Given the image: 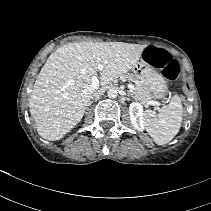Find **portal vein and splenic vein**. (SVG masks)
I'll use <instances>...</instances> for the list:
<instances>
[{"mask_svg": "<svg viewBox=\"0 0 211 211\" xmlns=\"http://www.w3.org/2000/svg\"><path fill=\"white\" fill-rule=\"evenodd\" d=\"M97 68L99 71H101L103 69V65L99 64ZM98 86H99V80H98L97 76H93L91 78V87L98 88ZM127 86L131 92L134 90V86L132 84L128 83ZM147 105L157 106V105H159V103L156 101H147Z\"/></svg>", "mask_w": 211, "mask_h": 211, "instance_id": "18ae733b", "label": "portal vein and splenic vein"}]
</instances>
